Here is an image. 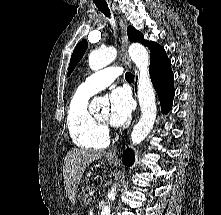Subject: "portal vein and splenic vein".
Returning a JSON list of instances; mask_svg holds the SVG:
<instances>
[{
	"label": "portal vein and splenic vein",
	"instance_id": "obj_1",
	"mask_svg": "<svg viewBox=\"0 0 221 215\" xmlns=\"http://www.w3.org/2000/svg\"><path fill=\"white\" fill-rule=\"evenodd\" d=\"M91 200H92V197L89 198V201H91Z\"/></svg>",
	"mask_w": 221,
	"mask_h": 215
}]
</instances>
